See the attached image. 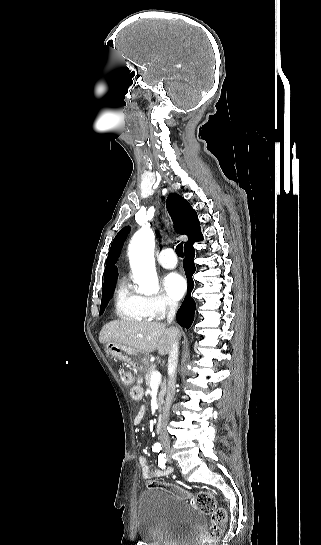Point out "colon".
<instances>
[{"label": "colon", "mask_w": 321, "mask_h": 545, "mask_svg": "<svg viewBox=\"0 0 321 545\" xmlns=\"http://www.w3.org/2000/svg\"><path fill=\"white\" fill-rule=\"evenodd\" d=\"M120 379L125 386L132 384V376L130 371L121 366L118 369ZM149 487L161 488L176 497L185 498L188 497V493L177 485L170 483H150ZM191 504L197 510L210 515L211 524L207 531L206 536L201 541V545H215L217 540L222 536L225 523H226V511L222 507L217 506L215 496L209 492H198L191 497Z\"/></svg>", "instance_id": "colon-1"}]
</instances>
